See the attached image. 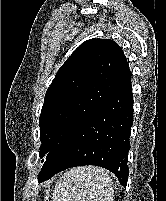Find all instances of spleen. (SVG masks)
Segmentation results:
<instances>
[{
	"mask_svg": "<svg viewBox=\"0 0 166 201\" xmlns=\"http://www.w3.org/2000/svg\"><path fill=\"white\" fill-rule=\"evenodd\" d=\"M108 173L98 167H78L65 172L55 186L53 201H114Z\"/></svg>",
	"mask_w": 166,
	"mask_h": 201,
	"instance_id": "1",
	"label": "spleen"
}]
</instances>
